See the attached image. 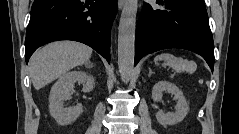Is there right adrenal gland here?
<instances>
[{
    "instance_id": "2a0ac1e0",
    "label": "right adrenal gland",
    "mask_w": 239,
    "mask_h": 134,
    "mask_svg": "<svg viewBox=\"0 0 239 134\" xmlns=\"http://www.w3.org/2000/svg\"><path fill=\"white\" fill-rule=\"evenodd\" d=\"M85 66H87V67H93V64H92L90 61H88V62L85 63Z\"/></svg>"
}]
</instances>
